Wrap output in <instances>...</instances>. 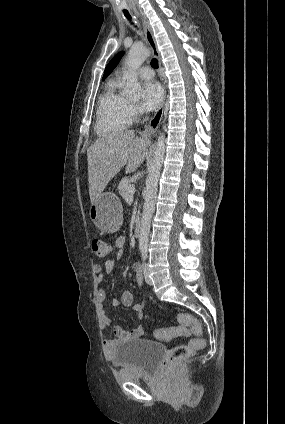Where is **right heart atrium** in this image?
Here are the masks:
<instances>
[{
    "label": "right heart atrium",
    "instance_id": "1",
    "mask_svg": "<svg viewBox=\"0 0 285 424\" xmlns=\"http://www.w3.org/2000/svg\"><path fill=\"white\" fill-rule=\"evenodd\" d=\"M129 112H130V117L131 118H134V117H136L138 115L139 109H138V107L136 105H133L132 104L129 107Z\"/></svg>",
    "mask_w": 285,
    "mask_h": 424
}]
</instances>
